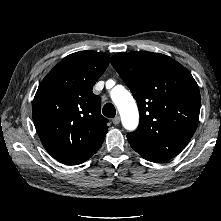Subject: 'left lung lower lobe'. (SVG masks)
Here are the masks:
<instances>
[{
    "label": "left lung lower lobe",
    "instance_id": "obj_1",
    "mask_svg": "<svg viewBox=\"0 0 221 221\" xmlns=\"http://www.w3.org/2000/svg\"><path fill=\"white\" fill-rule=\"evenodd\" d=\"M148 161H151V162H162L163 160H157V159H146Z\"/></svg>",
    "mask_w": 221,
    "mask_h": 221
}]
</instances>
